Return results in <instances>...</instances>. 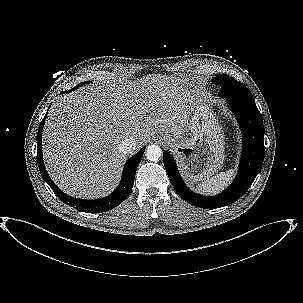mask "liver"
I'll list each match as a JSON object with an SVG mask.
<instances>
[{
  "instance_id": "liver-1",
  "label": "liver",
  "mask_w": 303,
  "mask_h": 303,
  "mask_svg": "<svg viewBox=\"0 0 303 303\" xmlns=\"http://www.w3.org/2000/svg\"><path fill=\"white\" fill-rule=\"evenodd\" d=\"M96 80L59 97L43 130L51 178L79 198H99L117 186L127 159L119 151L122 140L133 137L138 150L156 133L180 138L202 102L186 78L152 74L130 82Z\"/></svg>"
}]
</instances>
